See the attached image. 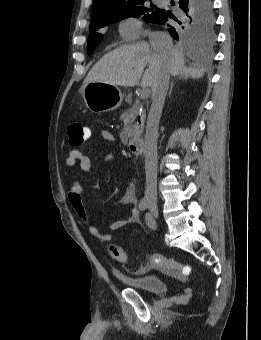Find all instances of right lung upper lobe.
<instances>
[{
  "label": "right lung upper lobe",
  "mask_w": 261,
  "mask_h": 340,
  "mask_svg": "<svg viewBox=\"0 0 261 340\" xmlns=\"http://www.w3.org/2000/svg\"><path fill=\"white\" fill-rule=\"evenodd\" d=\"M143 0H94L91 22L117 14L122 8Z\"/></svg>",
  "instance_id": "1"
}]
</instances>
